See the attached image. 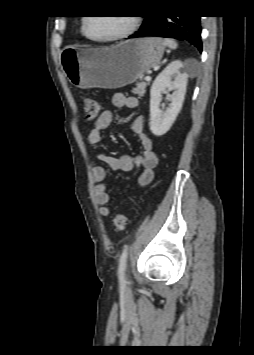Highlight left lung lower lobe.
<instances>
[{"label":"left lung lower lobe","mask_w":254,"mask_h":355,"mask_svg":"<svg viewBox=\"0 0 254 355\" xmlns=\"http://www.w3.org/2000/svg\"><path fill=\"white\" fill-rule=\"evenodd\" d=\"M143 17L146 19L140 30L136 34L129 36V38L143 36L183 38L191 42L200 52L202 51L201 16L145 15Z\"/></svg>","instance_id":"left-lung-lower-lobe-1"}]
</instances>
